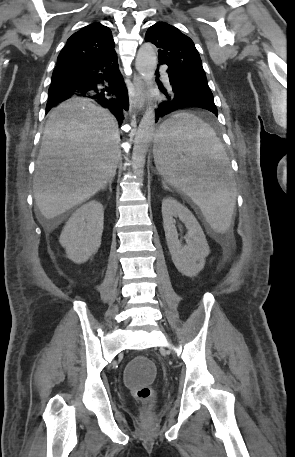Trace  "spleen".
Here are the masks:
<instances>
[{"mask_svg": "<svg viewBox=\"0 0 295 457\" xmlns=\"http://www.w3.org/2000/svg\"><path fill=\"white\" fill-rule=\"evenodd\" d=\"M154 161L164 180L199 206L215 232L229 229L236 182L225 149L209 125L188 112L175 114L159 127Z\"/></svg>", "mask_w": 295, "mask_h": 457, "instance_id": "3e777b00", "label": "spleen"}]
</instances>
